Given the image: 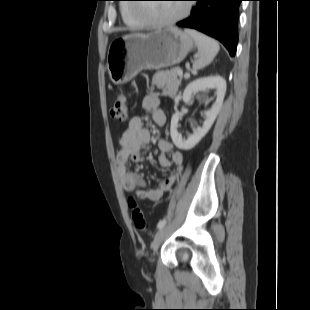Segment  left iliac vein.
Segmentation results:
<instances>
[{
  "instance_id": "1",
  "label": "left iliac vein",
  "mask_w": 310,
  "mask_h": 310,
  "mask_svg": "<svg viewBox=\"0 0 310 310\" xmlns=\"http://www.w3.org/2000/svg\"><path fill=\"white\" fill-rule=\"evenodd\" d=\"M168 231H169V228L167 226H164L161 229H159V231L154 236V239L151 243V249L153 251V255L155 254L159 246L164 241L165 237L167 236Z\"/></svg>"
}]
</instances>
